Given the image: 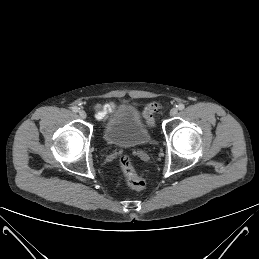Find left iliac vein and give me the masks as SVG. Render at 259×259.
<instances>
[{
    "instance_id": "4c4485c4",
    "label": "left iliac vein",
    "mask_w": 259,
    "mask_h": 259,
    "mask_svg": "<svg viewBox=\"0 0 259 259\" xmlns=\"http://www.w3.org/2000/svg\"><path fill=\"white\" fill-rule=\"evenodd\" d=\"M177 113H178V109L177 108H172L171 110H170V116H176L177 115Z\"/></svg>"
}]
</instances>
